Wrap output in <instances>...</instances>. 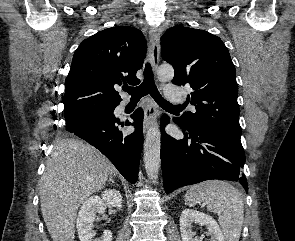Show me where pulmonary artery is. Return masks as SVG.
Instances as JSON below:
<instances>
[{
	"label": "pulmonary artery",
	"instance_id": "1",
	"mask_svg": "<svg viewBox=\"0 0 295 241\" xmlns=\"http://www.w3.org/2000/svg\"><path fill=\"white\" fill-rule=\"evenodd\" d=\"M165 97L175 103H180L183 101L182 92L175 85L170 84L166 86Z\"/></svg>",
	"mask_w": 295,
	"mask_h": 241
}]
</instances>
